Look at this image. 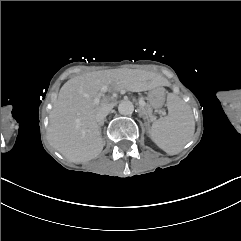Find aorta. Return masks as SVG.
<instances>
[{
	"label": "aorta",
	"mask_w": 241,
	"mask_h": 241,
	"mask_svg": "<svg viewBox=\"0 0 241 241\" xmlns=\"http://www.w3.org/2000/svg\"><path fill=\"white\" fill-rule=\"evenodd\" d=\"M118 111L122 115H131L134 111V105L131 101H122L118 105Z\"/></svg>",
	"instance_id": "762f6f07"
}]
</instances>
